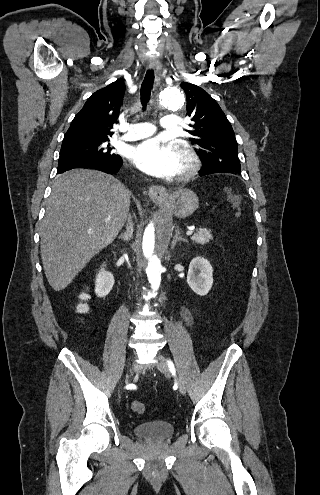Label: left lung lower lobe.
Returning a JSON list of instances; mask_svg holds the SVG:
<instances>
[{
  "label": "left lung lower lobe",
  "mask_w": 320,
  "mask_h": 495,
  "mask_svg": "<svg viewBox=\"0 0 320 495\" xmlns=\"http://www.w3.org/2000/svg\"><path fill=\"white\" fill-rule=\"evenodd\" d=\"M219 172H222V173L241 174V172H235V171H232V170H227V169H223V168L207 169V168L203 167V168L199 171V176H205V175H207V174H213V173H219Z\"/></svg>",
  "instance_id": "1"
}]
</instances>
